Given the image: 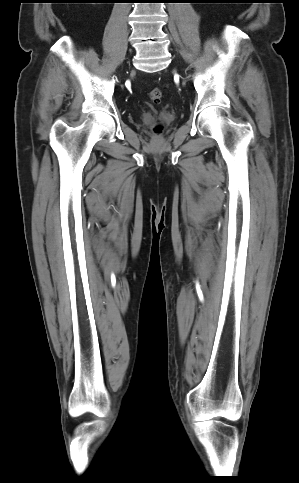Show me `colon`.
Listing matches in <instances>:
<instances>
[{"label": "colon", "mask_w": 299, "mask_h": 483, "mask_svg": "<svg viewBox=\"0 0 299 483\" xmlns=\"http://www.w3.org/2000/svg\"><path fill=\"white\" fill-rule=\"evenodd\" d=\"M162 94H163L162 89L159 87H155L150 91L149 96L154 103H158L162 98ZM161 131H162V125L159 123L155 124L153 127V132L158 135L161 133Z\"/></svg>", "instance_id": "5ec220e1"}]
</instances>
